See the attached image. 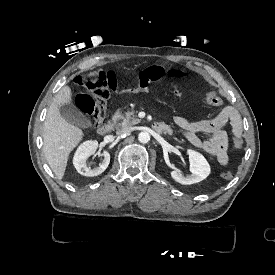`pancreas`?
Wrapping results in <instances>:
<instances>
[{"instance_id":"1","label":"pancreas","mask_w":275,"mask_h":275,"mask_svg":"<svg viewBox=\"0 0 275 275\" xmlns=\"http://www.w3.org/2000/svg\"><path fill=\"white\" fill-rule=\"evenodd\" d=\"M112 120L117 127L123 128L131 127L141 122V120L137 118L135 111L130 110L123 113L120 109L114 113Z\"/></svg>"}]
</instances>
